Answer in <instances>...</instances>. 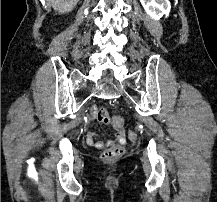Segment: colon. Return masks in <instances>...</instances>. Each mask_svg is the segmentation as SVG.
Here are the masks:
<instances>
[{"label":"colon","mask_w":217,"mask_h":202,"mask_svg":"<svg viewBox=\"0 0 217 202\" xmlns=\"http://www.w3.org/2000/svg\"><path fill=\"white\" fill-rule=\"evenodd\" d=\"M98 123H102L103 126H109L111 118H108L106 107H99L98 110ZM129 140H136V131H128ZM123 154V149L120 146H114L106 149L103 152V157L108 160H114L119 158Z\"/></svg>","instance_id":"1"}]
</instances>
